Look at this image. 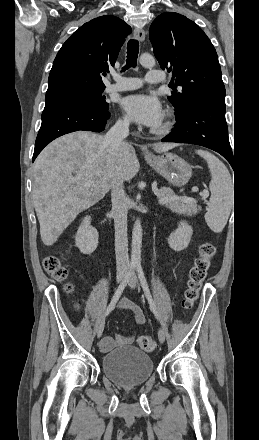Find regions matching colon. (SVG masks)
Wrapping results in <instances>:
<instances>
[{"label": "colon", "instance_id": "5ec220e1", "mask_svg": "<svg viewBox=\"0 0 259 440\" xmlns=\"http://www.w3.org/2000/svg\"><path fill=\"white\" fill-rule=\"evenodd\" d=\"M214 254L215 247L211 242H204L200 246L199 256L196 258L189 273L187 289L182 302L184 310H190L197 300ZM43 267L45 271L57 281H65L68 278V269L58 255L50 254L45 256L43 259ZM65 289L70 291L72 286L67 284ZM138 344L145 351H152L156 348V341L150 336L139 337Z\"/></svg>", "mask_w": 259, "mask_h": 440}]
</instances>
